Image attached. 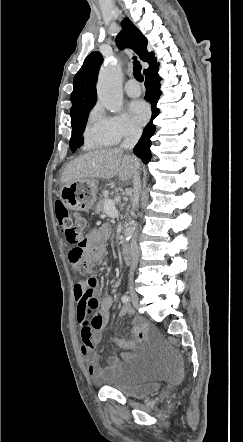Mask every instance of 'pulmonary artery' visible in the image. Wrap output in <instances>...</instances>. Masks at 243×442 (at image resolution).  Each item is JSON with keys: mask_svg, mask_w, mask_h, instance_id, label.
Listing matches in <instances>:
<instances>
[{"mask_svg": "<svg viewBox=\"0 0 243 442\" xmlns=\"http://www.w3.org/2000/svg\"><path fill=\"white\" fill-rule=\"evenodd\" d=\"M125 92L130 97H138L141 93L140 86L135 79H130L125 84Z\"/></svg>", "mask_w": 243, "mask_h": 442, "instance_id": "1", "label": "pulmonary artery"}]
</instances>
